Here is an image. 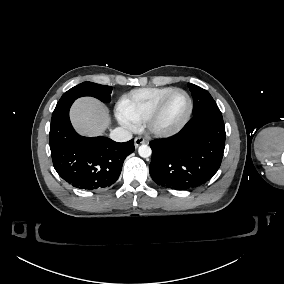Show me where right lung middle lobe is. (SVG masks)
Masks as SVG:
<instances>
[{
  "mask_svg": "<svg viewBox=\"0 0 284 284\" xmlns=\"http://www.w3.org/2000/svg\"><path fill=\"white\" fill-rule=\"evenodd\" d=\"M111 92V86L100 85L92 82H83L65 92L56 106L66 102H74L77 98L82 96H92L104 103H108L111 99Z\"/></svg>",
  "mask_w": 284,
  "mask_h": 284,
  "instance_id": "obj_1",
  "label": "right lung middle lobe"
}]
</instances>
